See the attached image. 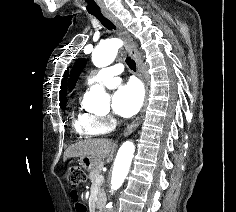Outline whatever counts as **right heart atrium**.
I'll return each instance as SVG.
<instances>
[{
	"label": "right heart atrium",
	"instance_id": "right-heart-atrium-1",
	"mask_svg": "<svg viewBox=\"0 0 236 212\" xmlns=\"http://www.w3.org/2000/svg\"><path fill=\"white\" fill-rule=\"evenodd\" d=\"M103 126L104 132L110 131L115 125V119L111 115H104L99 117Z\"/></svg>",
	"mask_w": 236,
	"mask_h": 212
}]
</instances>
